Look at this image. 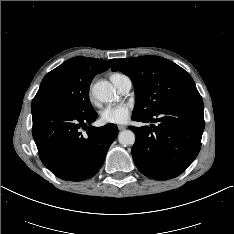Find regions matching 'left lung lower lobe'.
Listing matches in <instances>:
<instances>
[{"label":"left lung lower lobe","mask_w":234,"mask_h":234,"mask_svg":"<svg viewBox=\"0 0 234 234\" xmlns=\"http://www.w3.org/2000/svg\"><path fill=\"white\" fill-rule=\"evenodd\" d=\"M150 127H133L132 157L138 170L156 180L175 178L193 162L201 148L205 127L200 94L176 101L143 118Z\"/></svg>","instance_id":"1"}]
</instances>
